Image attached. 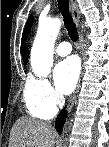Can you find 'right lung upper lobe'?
Returning <instances> with one entry per match:
<instances>
[{
	"label": "right lung upper lobe",
	"mask_w": 109,
	"mask_h": 147,
	"mask_svg": "<svg viewBox=\"0 0 109 147\" xmlns=\"http://www.w3.org/2000/svg\"><path fill=\"white\" fill-rule=\"evenodd\" d=\"M27 59H28V52H27V50H25L23 53V60H24L25 64L27 63Z\"/></svg>",
	"instance_id": "1"
}]
</instances>
